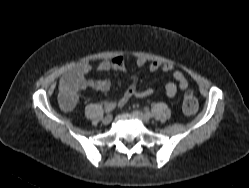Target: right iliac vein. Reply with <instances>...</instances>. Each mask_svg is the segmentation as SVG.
Listing matches in <instances>:
<instances>
[{
    "label": "right iliac vein",
    "mask_w": 249,
    "mask_h": 188,
    "mask_svg": "<svg viewBox=\"0 0 249 188\" xmlns=\"http://www.w3.org/2000/svg\"><path fill=\"white\" fill-rule=\"evenodd\" d=\"M111 121H112V115H107L102 122L104 125H108Z\"/></svg>",
    "instance_id": "right-iliac-vein-1"
}]
</instances>
